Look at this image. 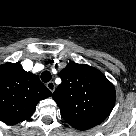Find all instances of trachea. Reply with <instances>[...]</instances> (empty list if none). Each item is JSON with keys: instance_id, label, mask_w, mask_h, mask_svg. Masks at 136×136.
<instances>
[{"instance_id": "trachea-1", "label": "trachea", "mask_w": 136, "mask_h": 136, "mask_svg": "<svg viewBox=\"0 0 136 136\" xmlns=\"http://www.w3.org/2000/svg\"><path fill=\"white\" fill-rule=\"evenodd\" d=\"M51 73L49 71H44L42 74H41V80L44 82V83H47L51 80Z\"/></svg>"}]
</instances>
